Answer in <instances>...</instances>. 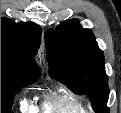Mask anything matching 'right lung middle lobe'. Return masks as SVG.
<instances>
[{
  "instance_id": "obj_1",
  "label": "right lung middle lobe",
  "mask_w": 121,
  "mask_h": 113,
  "mask_svg": "<svg viewBox=\"0 0 121 113\" xmlns=\"http://www.w3.org/2000/svg\"><path fill=\"white\" fill-rule=\"evenodd\" d=\"M21 70L1 64V113H12L13 97L22 87L37 80Z\"/></svg>"
}]
</instances>
